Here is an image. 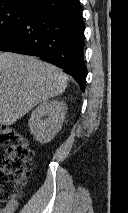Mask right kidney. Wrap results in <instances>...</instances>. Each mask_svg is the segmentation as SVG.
Listing matches in <instances>:
<instances>
[{"label": "right kidney", "instance_id": "right-kidney-1", "mask_svg": "<svg viewBox=\"0 0 128 213\" xmlns=\"http://www.w3.org/2000/svg\"><path fill=\"white\" fill-rule=\"evenodd\" d=\"M66 112L63 101H44L31 113L28 123L31 134L42 144L50 142L61 130Z\"/></svg>", "mask_w": 128, "mask_h": 213}]
</instances>
